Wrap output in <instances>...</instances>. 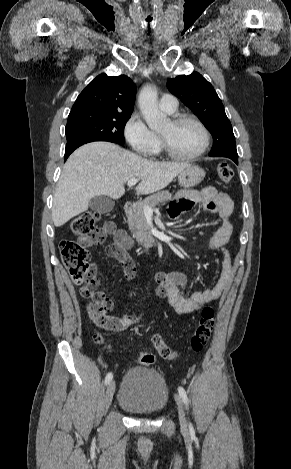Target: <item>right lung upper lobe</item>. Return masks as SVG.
Returning <instances> with one entry per match:
<instances>
[{"instance_id":"right-lung-upper-lobe-1","label":"right lung upper lobe","mask_w":291,"mask_h":469,"mask_svg":"<svg viewBox=\"0 0 291 469\" xmlns=\"http://www.w3.org/2000/svg\"><path fill=\"white\" fill-rule=\"evenodd\" d=\"M136 89L132 80L125 76L98 75L77 97L70 113L97 111L131 114Z\"/></svg>"}]
</instances>
